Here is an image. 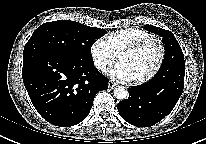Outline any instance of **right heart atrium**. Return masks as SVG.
<instances>
[{
	"mask_svg": "<svg viewBox=\"0 0 206 144\" xmlns=\"http://www.w3.org/2000/svg\"><path fill=\"white\" fill-rule=\"evenodd\" d=\"M90 55L94 66L100 72H105L117 58L105 38H99L91 44Z\"/></svg>",
	"mask_w": 206,
	"mask_h": 144,
	"instance_id": "1",
	"label": "right heart atrium"
}]
</instances>
